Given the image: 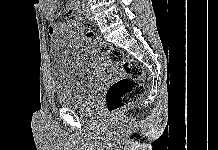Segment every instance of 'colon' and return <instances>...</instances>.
<instances>
[{"label": "colon", "mask_w": 218, "mask_h": 150, "mask_svg": "<svg viewBox=\"0 0 218 150\" xmlns=\"http://www.w3.org/2000/svg\"><path fill=\"white\" fill-rule=\"evenodd\" d=\"M69 27L73 33H82L93 46L122 71V76L113 80L105 93V104L110 113L117 112L143 95L144 70L140 63L126 57L120 49L111 46L94 31L83 27L77 20H71Z\"/></svg>", "instance_id": "1"}]
</instances>
